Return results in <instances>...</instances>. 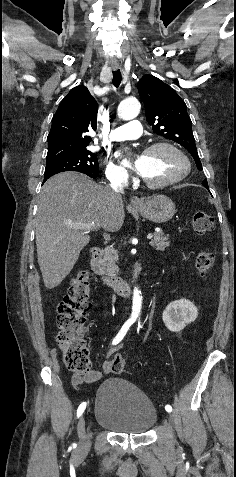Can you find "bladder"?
<instances>
[{
	"label": "bladder",
	"instance_id": "31cf9c89",
	"mask_svg": "<svg viewBox=\"0 0 236 477\" xmlns=\"http://www.w3.org/2000/svg\"><path fill=\"white\" fill-rule=\"evenodd\" d=\"M94 416L99 425L126 435L147 433L158 417L149 397L121 378H107L101 383L95 395Z\"/></svg>",
	"mask_w": 236,
	"mask_h": 477
}]
</instances>
